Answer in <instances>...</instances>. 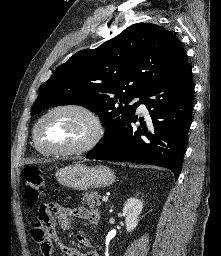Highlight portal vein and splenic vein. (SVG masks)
Masks as SVG:
<instances>
[{
    "instance_id": "1",
    "label": "portal vein and splenic vein",
    "mask_w": 221,
    "mask_h": 256,
    "mask_svg": "<svg viewBox=\"0 0 221 256\" xmlns=\"http://www.w3.org/2000/svg\"><path fill=\"white\" fill-rule=\"evenodd\" d=\"M102 200L104 201V202H107L108 201V196H103V198H102Z\"/></svg>"
}]
</instances>
